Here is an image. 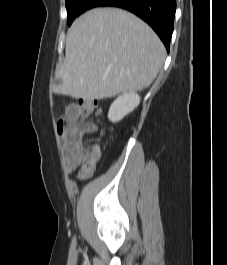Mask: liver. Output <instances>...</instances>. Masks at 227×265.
I'll use <instances>...</instances> for the list:
<instances>
[{
	"mask_svg": "<svg viewBox=\"0 0 227 265\" xmlns=\"http://www.w3.org/2000/svg\"><path fill=\"white\" fill-rule=\"evenodd\" d=\"M165 47L141 19L117 8L90 10L68 30L57 94L91 101L140 91L156 78Z\"/></svg>",
	"mask_w": 227,
	"mask_h": 265,
	"instance_id": "obj_1",
	"label": "liver"
}]
</instances>
